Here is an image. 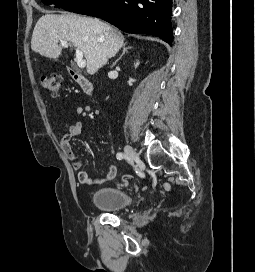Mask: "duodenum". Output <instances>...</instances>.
Instances as JSON below:
<instances>
[{"instance_id":"duodenum-1","label":"duodenum","mask_w":255,"mask_h":272,"mask_svg":"<svg viewBox=\"0 0 255 272\" xmlns=\"http://www.w3.org/2000/svg\"><path fill=\"white\" fill-rule=\"evenodd\" d=\"M71 77L74 79V81L80 86L82 91L86 94H90L94 90L93 83L85 78L82 74H80L75 69H69Z\"/></svg>"}]
</instances>
